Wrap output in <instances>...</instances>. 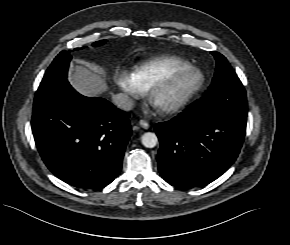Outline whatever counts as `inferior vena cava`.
<instances>
[{"label": "inferior vena cava", "instance_id": "1", "mask_svg": "<svg viewBox=\"0 0 290 245\" xmlns=\"http://www.w3.org/2000/svg\"><path fill=\"white\" fill-rule=\"evenodd\" d=\"M112 100L119 109L124 111H130L134 107V101L125 93L114 95Z\"/></svg>", "mask_w": 290, "mask_h": 245}]
</instances>
